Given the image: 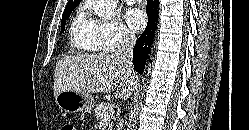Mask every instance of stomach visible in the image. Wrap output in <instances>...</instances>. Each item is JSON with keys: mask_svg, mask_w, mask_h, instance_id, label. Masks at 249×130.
Returning a JSON list of instances; mask_svg holds the SVG:
<instances>
[{"mask_svg": "<svg viewBox=\"0 0 249 130\" xmlns=\"http://www.w3.org/2000/svg\"><path fill=\"white\" fill-rule=\"evenodd\" d=\"M56 103L62 111L77 113L91 110L95 106V99L89 93L67 90L56 96Z\"/></svg>", "mask_w": 249, "mask_h": 130, "instance_id": "1", "label": "stomach"}]
</instances>
